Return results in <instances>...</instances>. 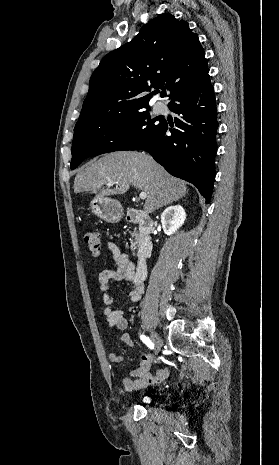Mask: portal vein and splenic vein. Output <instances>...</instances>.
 <instances>
[{
  "label": "portal vein and splenic vein",
  "instance_id": "1",
  "mask_svg": "<svg viewBox=\"0 0 279 465\" xmlns=\"http://www.w3.org/2000/svg\"><path fill=\"white\" fill-rule=\"evenodd\" d=\"M107 185H108V186H112V185H114V182H113V181H110ZM146 197H147V194H146L145 192H141V193L139 194V198H140L141 200H145Z\"/></svg>",
  "mask_w": 279,
  "mask_h": 465
}]
</instances>
